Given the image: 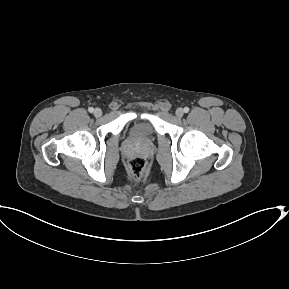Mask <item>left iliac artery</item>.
Instances as JSON below:
<instances>
[{
    "instance_id": "obj_1",
    "label": "left iliac artery",
    "mask_w": 289,
    "mask_h": 289,
    "mask_svg": "<svg viewBox=\"0 0 289 289\" xmlns=\"http://www.w3.org/2000/svg\"><path fill=\"white\" fill-rule=\"evenodd\" d=\"M184 112H185V113H188V112H189V108H188V107H185V108H184Z\"/></svg>"
}]
</instances>
